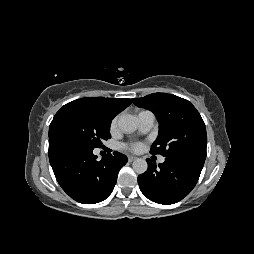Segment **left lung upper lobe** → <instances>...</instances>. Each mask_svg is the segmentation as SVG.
I'll use <instances>...</instances> for the list:
<instances>
[{
    "label": "left lung upper lobe",
    "mask_w": 254,
    "mask_h": 254,
    "mask_svg": "<svg viewBox=\"0 0 254 254\" xmlns=\"http://www.w3.org/2000/svg\"><path fill=\"white\" fill-rule=\"evenodd\" d=\"M132 102L152 111L159 122V135L152 154L165 157L189 155L206 158L207 134L204 121L191 102L166 93H153Z\"/></svg>",
    "instance_id": "obj_1"
}]
</instances>
